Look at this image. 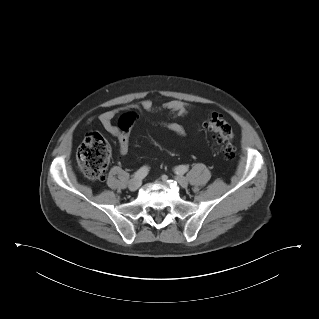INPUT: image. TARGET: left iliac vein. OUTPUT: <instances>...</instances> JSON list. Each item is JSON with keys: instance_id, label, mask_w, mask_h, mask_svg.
Instances as JSON below:
<instances>
[{"instance_id": "1", "label": "left iliac vein", "mask_w": 319, "mask_h": 319, "mask_svg": "<svg viewBox=\"0 0 319 319\" xmlns=\"http://www.w3.org/2000/svg\"><path fill=\"white\" fill-rule=\"evenodd\" d=\"M175 180L183 188L188 186V180L184 176H182L180 174L176 175Z\"/></svg>"}]
</instances>
